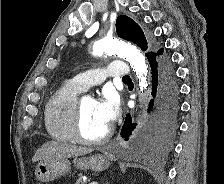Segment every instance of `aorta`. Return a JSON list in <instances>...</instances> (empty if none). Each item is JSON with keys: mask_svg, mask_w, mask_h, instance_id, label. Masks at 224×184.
Segmentation results:
<instances>
[{"mask_svg": "<svg viewBox=\"0 0 224 184\" xmlns=\"http://www.w3.org/2000/svg\"><path fill=\"white\" fill-rule=\"evenodd\" d=\"M103 53L121 54L131 65L139 79V87L143 91L147 88L148 65L140 50L117 38H103L94 42L93 54L101 56Z\"/></svg>", "mask_w": 224, "mask_h": 184, "instance_id": "1", "label": "aorta"}]
</instances>
